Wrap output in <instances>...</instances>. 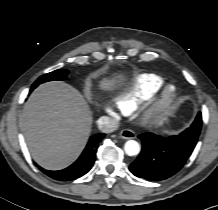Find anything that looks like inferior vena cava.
<instances>
[{
  "mask_svg": "<svg viewBox=\"0 0 218 210\" xmlns=\"http://www.w3.org/2000/svg\"><path fill=\"white\" fill-rule=\"evenodd\" d=\"M119 123L117 120L102 116L98 120V128L101 130L103 133H111L114 132L118 129Z\"/></svg>",
  "mask_w": 218,
  "mask_h": 210,
  "instance_id": "obj_1",
  "label": "inferior vena cava"
}]
</instances>
